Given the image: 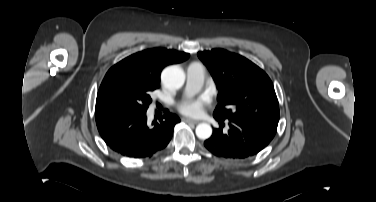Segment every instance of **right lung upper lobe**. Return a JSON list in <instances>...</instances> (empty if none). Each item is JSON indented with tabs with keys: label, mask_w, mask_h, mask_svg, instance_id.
Returning <instances> with one entry per match:
<instances>
[{
	"label": "right lung upper lobe",
	"mask_w": 376,
	"mask_h": 202,
	"mask_svg": "<svg viewBox=\"0 0 376 202\" xmlns=\"http://www.w3.org/2000/svg\"><path fill=\"white\" fill-rule=\"evenodd\" d=\"M188 57L189 54L184 52L154 48L135 53L113 67L126 66L151 80L160 81V73L165 66L180 63Z\"/></svg>",
	"instance_id": "cb5924a9"
}]
</instances>
